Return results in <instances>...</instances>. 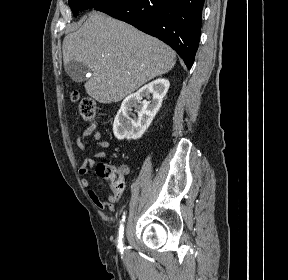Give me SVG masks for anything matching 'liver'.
<instances>
[{"label":"liver","instance_id":"1","mask_svg":"<svg viewBox=\"0 0 288 280\" xmlns=\"http://www.w3.org/2000/svg\"><path fill=\"white\" fill-rule=\"evenodd\" d=\"M63 62L77 61L91 71L84 87L100 103L119 102L146 82L169 72L175 52L158 39L104 13L92 11L63 40Z\"/></svg>","mask_w":288,"mask_h":280}]
</instances>
